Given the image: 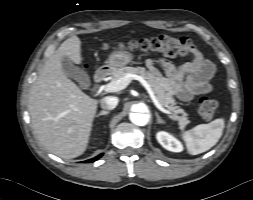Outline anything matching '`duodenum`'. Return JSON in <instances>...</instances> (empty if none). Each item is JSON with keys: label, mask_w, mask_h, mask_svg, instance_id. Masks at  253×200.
<instances>
[{"label": "duodenum", "mask_w": 253, "mask_h": 200, "mask_svg": "<svg viewBox=\"0 0 253 200\" xmlns=\"http://www.w3.org/2000/svg\"><path fill=\"white\" fill-rule=\"evenodd\" d=\"M109 74H110L109 68H107V67L99 68L94 74L95 83L103 82Z\"/></svg>", "instance_id": "duodenum-1"}]
</instances>
